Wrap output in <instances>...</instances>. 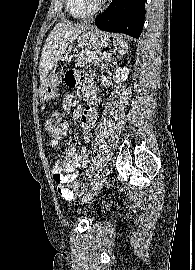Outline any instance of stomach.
Masks as SVG:
<instances>
[{"mask_svg":"<svg viewBox=\"0 0 195 270\" xmlns=\"http://www.w3.org/2000/svg\"><path fill=\"white\" fill-rule=\"evenodd\" d=\"M109 42V35L93 27H89L79 37L78 47L82 49H99L106 47ZM60 85L59 77L52 72L47 76L46 81L40 87V98L44 101L54 99L58 94Z\"/></svg>","mask_w":195,"mask_h":270,"instance_id":"obj_1","label":"stomach"}]
</instances>
